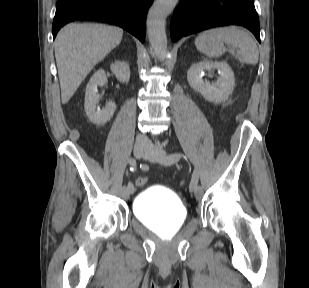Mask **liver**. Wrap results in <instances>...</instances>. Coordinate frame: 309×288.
Here are the masks:
<instances>
[{
  "label": "liver",
  "mask_w": 309,
  "mask_h": 288,
  "mask_svg": "<svg viewBox=\"0 0 309 288\" xmlns=\"http://www.w3.org/2000/svg\"><path fill=\"white\" fill-rule=\"evenodd\" d=\"M123 37L118 27L70 23L55 40V57L62 103H67L93 67L102 61Z\"/></svg>",
  "instance_id": "liver-1"
}]
</instances>
